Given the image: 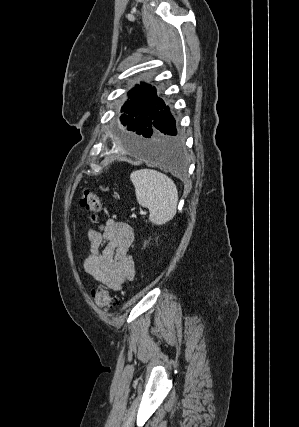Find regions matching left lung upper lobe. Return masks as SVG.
<instances>
[{
    "instance_id": "obj_1",
    "label": "left lung upper lobe",
    "mask_w": 299,
    "mask_h": 427,
    "mask_svg": "<svg viewBox=\"0 0 299 427\" xmlns=\"http://www.w3.org/2000/svg\"><path fill=\"white\" fill-rule=\"evenodd\" d=\"M128 97L130 100L125 102L121 109L126 114L121 115L120 120L125 129L141 135L144 129H147L144 121L149 119L151 122L149 114L154 118L158 106L163 105L164 101L156 95L152 86L143 83L133 88Z\"/></svg>"
}]
</instances>
